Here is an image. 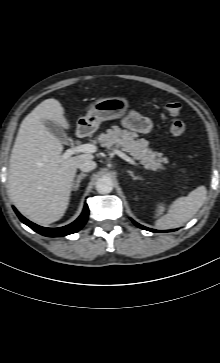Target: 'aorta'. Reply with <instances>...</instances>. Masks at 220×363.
I'll return each mask as SVG.
<instances>
[{
  "mask_svg": "<svg viewBox=\"0 0 220 363\" xmlns=\"http://www.w3.org/2000/svg\"><path fill=\"white\" fill-rule=\"evenodd\" d=\"M96 190L100 194H108L113 190V181L110 177L103 176L96 181Z\"/></svg>",
  "mask_w": 220,
  "mask_h": 363,
  "instance_id": "aorta-1",
  "label": "aorta"
}]
</instances>
